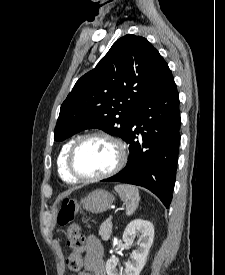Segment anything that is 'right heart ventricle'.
I'll use <instances>...</instances> for the list:
<instances>
[{
  "label": "right heart ventricle",
  "mask_w": 225,
  "mask_h": 275,
  "mask_svg": "<svg viewBox=\"0 0 225 275\" xmlns=\"http://www.w3.org/2000/svg\"><path fill=\"white\" fill-rule=\"evenodd\" d=\"M76 139H71L69 140L68 142H66L61 150H60V153L58 155V158H57V171H58V174L60 176V178L64 181V182H67V183H72V182H75L76 180L70 175V173L68 172L67 170V165H66V161H67V154H68V151L71 147V145L73 144V142L75 141Z\"/></svg>",
  "instance_id": "e07e8e85"
}]
</instances>
